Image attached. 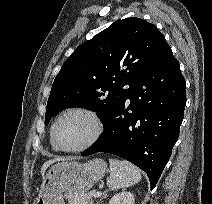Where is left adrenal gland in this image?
I'll list each match as a JSON object with an SVG mask.
<instances>
[{
    "instance_id": "obj_1",
    "label": "left adrenal gland",
    "mask_w": 212,
    "mask_h": 204,
    "mask_svg": "<svg viewBox=\"0 0 212 204\" xmlns=\"http://www.w3.org/2000/svg\"><path fill=\"white\" fill-rule=\"evenodd\" d=\"M105 196H106V192H104V193L102 194L100 200H99L96 204H99Z\"/></svg>"
}]
</instances>
